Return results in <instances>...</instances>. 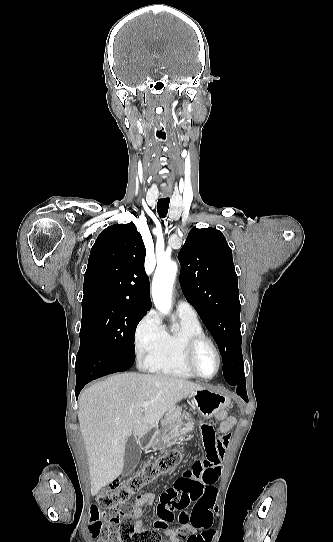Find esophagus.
I'll list each match as a JSON object with an SVG mask.
<instances>
[{
	"mask_svg": "<svg viewBox=\"0 0 333 542\" xmlns=\"http://www.w3.org/2000/svg\"><path fill=\"white\" fill-rule=\"evenodd\" d=\"M169 194H170V192H165V191L162 192V195H163V196H167V195H169Z\"/></svg>",
	"mask_w": 333,
	"mask_h": 542,
	"instance_id": "1",
	"label": "esophagus"
}]
</instances>
